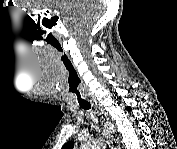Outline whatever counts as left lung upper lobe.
Masks as SVG:
<instances>
[{"instance_id": "obj_1", "label": "left lung upper lobe", "mask_w": 177, "mask_h": 149, "mask_svg": "<svg viewBox=\"0 0 177 149\" xmlns=\"http://www.w3.org/2000/svg\"><path fill=\"white\" fill-rule=\"evenodd\" d=\"M73 147H74L73 141H70L63 146L64 149H72Z\"/></svg>"}]
</instances>
